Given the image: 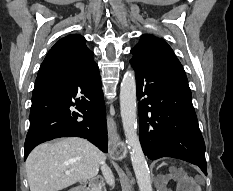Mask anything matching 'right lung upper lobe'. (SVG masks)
Instances as JSON below:
<instances>
[{
  "label": "right lung upper lobe",
  "instance_id": "1",
  "mask_svg": "<svg viewBox=\"0 0 233 191\" xmlns=\"http://www.w3.org/2000/svg\"><path fill=\"white\" fill-rule=\"evenodd\" d=\"M93 52L79 34L68 35L60 39L49 51L38 72L77 74L94 64Z\"/></svg>",
  "mask_w": 233,
  "mask_h": 191
}]
</instances>
